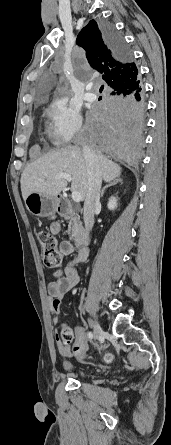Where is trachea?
<instances>
[{
	"label": "trachea",
	"mask_w": 171,
	"mask_h": 445,
	"mask_svg": "<svg viewBox=\"0 0 171 445\" xmlns=\"http://www.w3.org/2000/svg\"><path fill=\"white\" fill-rule=\"evenodd\" d=\"M103 89H104V85H102V86L100 87V92H102Z\"/></svg>",
	"instance_id": "trachea-1"
}]
</instances>
